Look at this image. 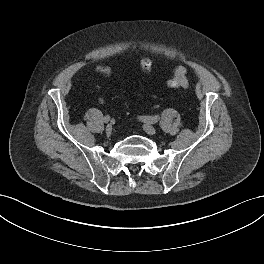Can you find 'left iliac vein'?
Masks as SVG:
<instances>
[{
    "instance_id": "4c4485c4",
    "label": "left iliac vein",
    "mask_w": 264,
    "mask_h": 264,
    "mask_svg": "<svg viewBox=\"0 0 264 264\" xmlns=\"http://www.w3.org/2000/svg\"><path fill=\"white\" fill-rule=\"evenodd\" d=\"M143 129L146 133L150 135H154L156 133V129L150 124H144Z\"/></svg>"
}]
</instances>
